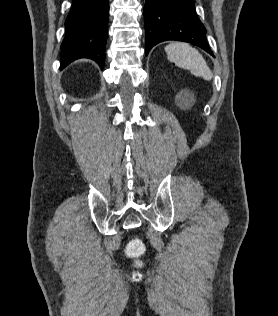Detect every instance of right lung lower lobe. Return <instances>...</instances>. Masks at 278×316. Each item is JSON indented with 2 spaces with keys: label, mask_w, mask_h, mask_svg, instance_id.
Listing matches in <instances>:
<instances>
[{
  "label": "right lung lower lobe",
  "mask_w": 278,
  "mask_h": 316,
  "mask_svg": "<svg viewBox=\"0 0 278 316\" xmlns=\"http://www.w3.org/2000/svg\"><path fill=\"white\" fill-rule=\"evenodd\" d=\"M108 26L107 0H73L61 45V69L80 58L104 66Z\"/></svg>",
  "instance_id": "right-lung-lower-lobe-1"
}]
</instances>
